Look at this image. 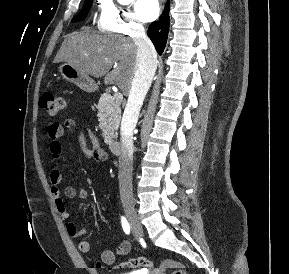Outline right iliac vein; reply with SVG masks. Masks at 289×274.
<instances>
[{"label":"right iliac vein","instance_id":"63e3f726","mask_svg":"<svg viewBox=\"0 0 289 274\" xmlns=\"http://www.w3.org/2000/svg\"><path fill=\"white\" fill-rule=\"evenodd\" d=\"M123 207L134 236L137 239L142 238L143 229L131 201L127 198H123Z\"/></svg>","mask_w":289,"mask_h":274}]
</instances>
